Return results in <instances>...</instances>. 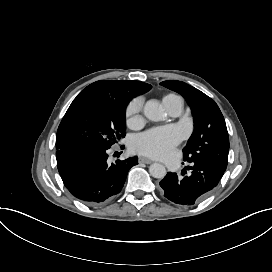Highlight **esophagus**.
<instances>
[{
	"instance_id": "esophagus-1",
	"label": "esophagus",
	"mask_w": 272,
	"mask_h": 272,
	"mask_svg": "<svg viewBox=\"0 0 272 272\" xmlns=\"http://www.w3.org/2000/svg\"><path fill=\"white\" fill-rule=\"evenodd\" d=\"M138 162L139 163H145V164H151L152 160H150V159H148L146 157H139Z\"/></svg>"
}]
</instances>
